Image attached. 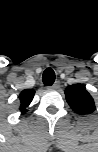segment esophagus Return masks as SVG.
Here are the masks:
<instances>
[{
  "mask_svg": "<svg viewBox=\"0 0 98 152\" xmlns=\"http://www.w3.org/2000/svg\"><path fill=\"white\" fill-rule=\"evenodd\" d=\"M48 88L52 90H57L60 88V82L56 81L52 86H49Z\"/></svg>",
  "mask_w": 98,
  "mask_h": 152,
  "instance_id": "1",
  "label": "esophagus"
}]
</instances>
